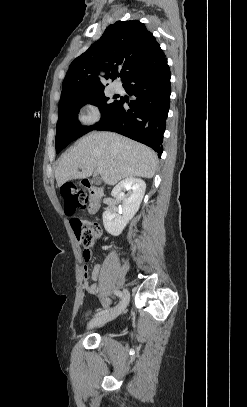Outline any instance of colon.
<instances>
[{
	"instance_id": "colon-1",
	"label": "colon",
	"mask_w": 247,
	"mask_h": 407,
	"mask_svg": "<svg viewBox=\"0 0 247 407\" xmlns=\"http://www.w3.org/2000/svg\"><path fill=\"white\" fill-rule=\"evenodd\" d=\"M60 193L64 200V212L66 215L72 216L78 209L85 208L88 197L86 193L80 191L75 184L67 183L63 185ZM71 226L78 240L83 245L84 251L89 252V248L93 245L94 240L100 233L99 225L74 218L71 220Z\"/></svg>"
}]
</instances>
